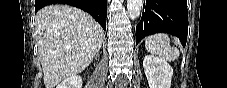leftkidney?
<instances>
[{"instance_id": "1", "label": "left kidney", "mask_w": 227, "mask_h": 88, "mask_svg": "<svg viewBox=\"0 0 227 88\" xmlns=\"http://www.w3.org/2000/svg\"><path fill=\"white\" fill-rule=\"evenodd\" d=\"M143 67L149 88L171 87L173 69L165 60L154 55H146Z\"/></svg>"}]
</instances>
